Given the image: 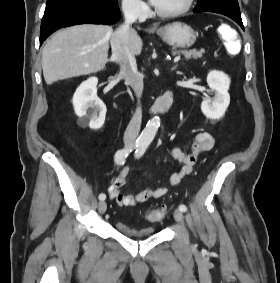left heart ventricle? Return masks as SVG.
Returning <instances> with one entry per match:
<instances>
[{
  "label": "left heart ventricle",
  "instance_id": "1",
  "mask_svg": "<svg viewBox=\"0 0 280 283\" xmlns=\"http://www.w3.org/2000/svg\"><path fill=\"white\" fill-rule=\"evenodd\" d=\"M185 0H159L156 8L160 11H173L180 8Z\"/></svg>",
  "mask_w": 280,
  "mask_h": 283
}]
</instances>
